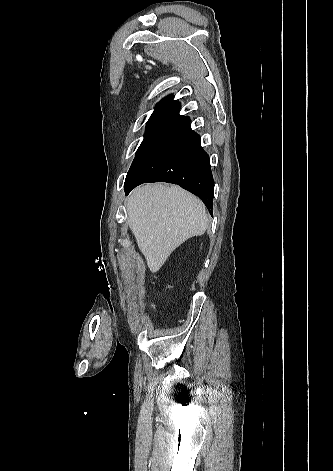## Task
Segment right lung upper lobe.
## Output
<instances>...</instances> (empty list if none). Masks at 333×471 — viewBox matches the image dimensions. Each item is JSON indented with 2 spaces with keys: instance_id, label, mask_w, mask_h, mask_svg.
Instances as JSON below:
<instances>
[{
  "instance_id": "1",
  "label": "right lung upper lobe",
  "mask_w": 333,
  "mask_h": 471,
  "mask_svg": "<svg viewBox=\"0 0 333 471\" xmlns=\"http://www.w3.org/2000/svg\"><path fill=\"white\" fill-rule=\"evenodd\" d=\"M173 98L174 97L172 95L163 98L156 105L150 118L168 119L176 122L181 120L184 116L179 114L180 103L178 101H174Z\"/></svg>"
}]
</instances>
